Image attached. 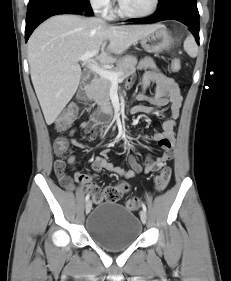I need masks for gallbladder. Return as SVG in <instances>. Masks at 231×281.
I'll use <instances>...</instances> for the list:
<instances>
[{"label": "gallbladder", "mask_w": 231, "mask_h": 281, "mask_svg": "<svg viewBox=\"0 0 231 281\" xmlns=\"http://www.w3.org/2000/svg\"><path fill=\"white\" fill-rule=\"evenodd\" d=\"M85 77H86V73H83L82 78H85Z\"/></svg>", "instance_id": "1"}]
</instances>
